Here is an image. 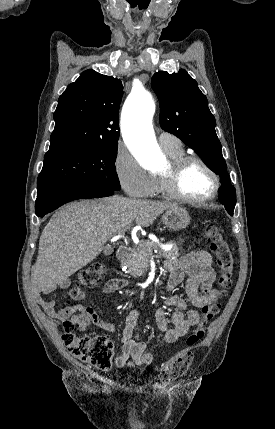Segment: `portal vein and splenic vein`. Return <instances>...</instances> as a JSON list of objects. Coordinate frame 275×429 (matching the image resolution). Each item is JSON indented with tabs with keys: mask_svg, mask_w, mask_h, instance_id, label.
<instances>
[{
	"mask_svg": "<svg viewBox=\"0 0 275 429\" xmlns=\"http://www.w3.org/2000/svg\"><path fill=\"white\" fill-rule=\"evenodd\" d=\"M119 237H120V235H117V236L113 237L112 239H118ZM171 248H172V246H162V249H164V250H170Z\"/></svg>",
	"mask_w": 275,
	"mask_h": 429,
	"instance_id": "18ae733b",
	"label": "portal vein and splenic vein"
}]
</instances>
